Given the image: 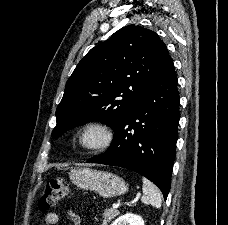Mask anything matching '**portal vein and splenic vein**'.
I'll return each mask as SVG.
<instances>
[{"instance_id":"obj_1","label":"portal vein and splenic vein","mask_w":228,"mask_h":225,"mask_svg":"<svg viewBox=\"0 0 228 225\" xmlns=\"http://www.w3.org/2000/svg\"><path fill=\"white\" fill-rule=\"evenodd\" d=\"M140 200V195H135V199H126L125 203L123 202H115V204H113V209H118V207H133V205H138Z\"/></svg>"}]
</instances>
